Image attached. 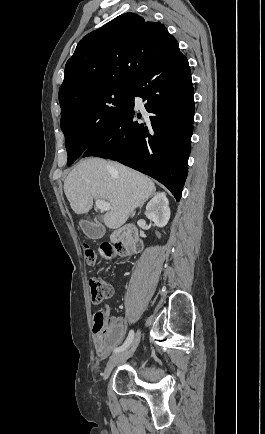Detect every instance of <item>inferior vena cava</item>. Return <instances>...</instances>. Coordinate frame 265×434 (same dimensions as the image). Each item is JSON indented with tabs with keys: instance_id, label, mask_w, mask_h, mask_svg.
I'll list each match as a JSON object with an SVG mask.
<instances>
[{
	"instance_id": "602c4592",
	"label": "inferior vena cava",
	"mask_w": 265,
	"mask_h": 434,
	"mask_svg": "<svg viewBox=\"0 0 265 434\" xmlns=\"http://www.w3.org/2000/svg\"><path fill=\"white\" fill-rule=\"evenodd\" d=\"M135 212H131V216H134Z\"/></svg>"
}]
</instances>
